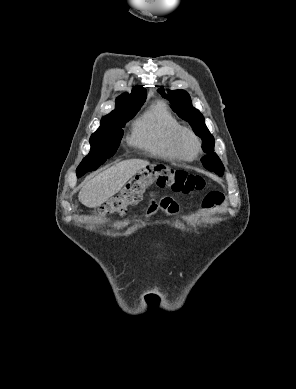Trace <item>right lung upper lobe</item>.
Instances as JSON below:
<instances>
[{"label":"right lung upper lobe","instance_id":"1","mask_svg":"<svg viewBox=\"0 0 296 389\" xmlns=\"http://www.w3.org/2000/svg\"><path fill=\"white\" fill-rule=\"evenodd\" d=\"M146 99V89L143 86H136L131 94L125 93L116 99V108L106 117H112L125 111L141 107Z\"/></svg>","mask_w":296,"mask_h":389}]
</instances>
